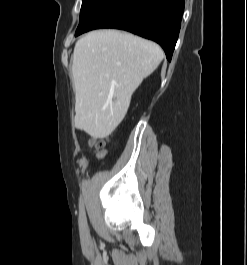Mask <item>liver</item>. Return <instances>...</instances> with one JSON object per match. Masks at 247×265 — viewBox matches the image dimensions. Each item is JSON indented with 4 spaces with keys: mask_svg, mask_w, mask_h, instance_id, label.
Returning a JSON list of instances; mask_svg holds the SVG:
<instances>
[{
    "mask_svg": "<svg viewBox=\"0 0 247 265\" xmlns=\"http://www.w3.org/2000/svg\"><path fill=\"white\" fill-rule=\"evenodd\" d=\"M163 59L154 42L117 30L91 31L74 47L75 126L105 138L125 117L131 97Z\"/></svg>",
    "mask_w": 247,
    "mask_h": 265,
    "instance_id": "6515ba94",
    "label": "liver"
}]
</instances>
